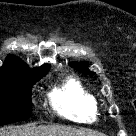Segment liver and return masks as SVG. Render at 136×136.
<instances>
[{
    "label": "liver",
    "mask_w": 136,
    "mask_h": 136,
    "mask_svg": "<svg viewBox=\"0 0 136 136\" xmlns=\"http://www.w3.org/2000/svg\"><path fill=\"white\" fill-rule=\"evenodd\" d=\"M0 136H92V134L71 127L48 125L26 126L20 129L8 127L0 132Z\"/></svg>",
    "instance_id": "liver-1"
}]
</instances>
